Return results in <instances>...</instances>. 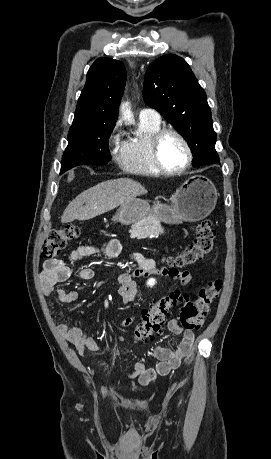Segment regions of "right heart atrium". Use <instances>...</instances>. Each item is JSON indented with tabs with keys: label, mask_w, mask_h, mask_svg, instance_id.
Masks as SVG:
<instances>
[{
	"label": "right heart atrium",
	"mask_w": 271,
	"mask_h": 459,
	"mask_svg": "<svg viewBox=\"0 0 271 459\" xmlns=\"http://www.w3.org/2000/svg\"><path fill=\"white\" fill-rule=\"evenodd\" d=\"M106 146L110 150L113 158L120 162L121 153L124 147L122 142V132L120 129V122H116L110 128L106 136Z\"/></svg>",
	"instance_id": "1"
}]
</instances>
